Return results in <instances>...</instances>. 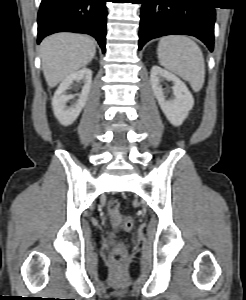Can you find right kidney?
<instances>
[{"label":"right kidney","instance_id":"obj_1","mask_svg":"<svg viewBox=\"0 0 246 300\" xmlns=\"http://www.w3.org/2000/svg\"><path fill=\"white\" fill-rule=\"evenodd\" d=\"M84 82L81 93L78 95L77 102L71 107H67L66 103L74 98V95H66V90L74 83ZM92 71L88 68H83L79 71L73 72L68 75L60 83L52 98V107L55 117L64 125H71L79 116L84 108L88 95L91 89Z\"/></svg>","mask_w":246,"mask_h":300}]
</instances>
